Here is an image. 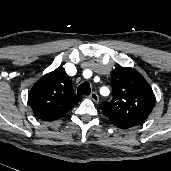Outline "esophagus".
<instances>
[{
	"instance_id": "1",
	"label": "esophagus",
	"mask_w": 171,
	"mask_h": 171,
	"mask_svg": "<svg viewBox=\"0 0 171 171\" xmlns=\"http://www.w3.org/2000/svg\"><path fill=\"white\" fill-rule=\"evenodd\" d=\"M89 98H91L95 103H98L99 102V96L96 92H92L90 95H89Z\"/></svg>"
}]
</instances>
